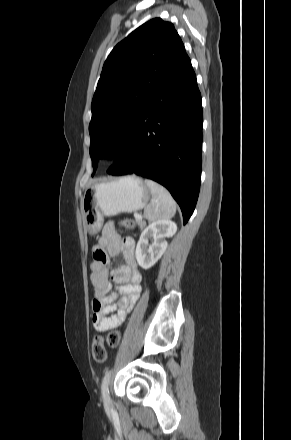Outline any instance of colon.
I'll list each match as a JSON object with an SVG mask.
<instances>
[{"instance_id":"1","label":"colon","mask_w":291,"mask_h":440,"mask_svg":"<svg viewBox=\"0 0 291 440\" xmlns=\"http://www.w3.org/2000/svg\"><path fill=\"white\" fill-rule=\"evenodd\" d=\"M124 226L127 228H133V224L130 221H125ZM120 337L117 333L113 332L108 336V342L111 346H117L119 344ZM92 355L95 361L103 363L107 359V352L104 345V339L101 336H96L92 342Z\"/></svg>"}]
</instances>
